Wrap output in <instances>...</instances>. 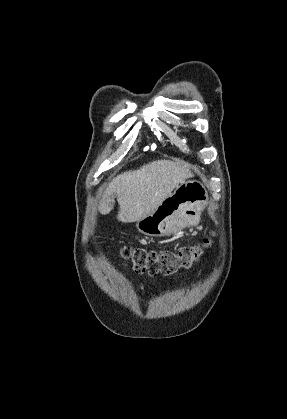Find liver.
Masks as SVG:
<instances>
[{
  "instance_id": "1",
  "label": "liver",
  "mask_w": 287,
  "mask_h": 419,
  "mask_svg": "<svg viewBox=\"0 0 287 419\" xmlns=\"http://www.w3.org/2000/svg\"><path fill=\"white\" fill-rule=\"evenodd\" d=\"M190 177L192 173L185 162H149L114 178L103 194L99 211L103 215L109 214L116 197L119 204L118 221H138L154 212L174 189Z\"/></svg>"
}]
</instances>
